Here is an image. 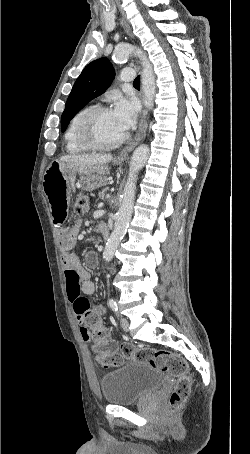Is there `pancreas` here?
I'll use <instances>...</instances> for the list:
<instances>
[{"instance_id":"1","label":"pancreas","mask_w":250,"mask_h":454,"mask_svg":"<svg viewBox=\"0 0 250 454\" xmlns=\"http://www.w3.org/2000/svg\"><path fill=\"white\" fill-rule=\"evenodd\" d=\"M104 196H105V190H103L102 192L99 193V197H100L101 199H103Z\"/></svg>"}]
</instances>
